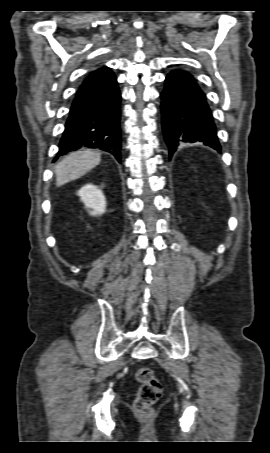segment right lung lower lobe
Instances as JSON below:
<instances>
[{
  "mask_svg": "<svg viewBox=\"0 0 270 453\" xmlns=\"http://www.w3.org/2000/svg\"><path fill=\"white\" fill-rule=\"evenodd\" d=\"M120 102L117 80L109 68L84 80L72 102L54 161L89 147L107 151L120 162Z\"/></svg>",
  "mask_w": 270,
  "mask_h": 453,
  "instance_id": "1",
  "label": "right lung lower lobe"
}]
</instances>
